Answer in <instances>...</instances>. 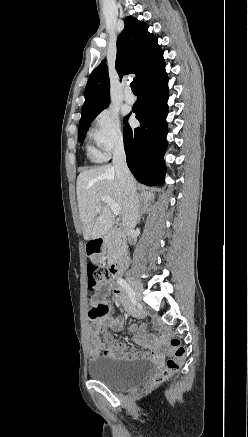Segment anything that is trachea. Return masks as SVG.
I'll list each match as a JSON object with an SVG mask.
<instances>
[{
  "instance_id": "1",
  "label": "trachea",
  "mask_w": 248,
  "mask_h": 437,
  "mask_svg": "<svg viewBox=\"0 0 248 437\" xmlns=\"http://www.w3.org/2000/svg\"><path fill=\"white\" fill-rule=\"evenodd\" d=\"M130 86H131V89H132V92H133V93H137V92H138V90H137V86H136V82H135V81H132V82L130 83Z\"/></svg>"
}]
</instances>
